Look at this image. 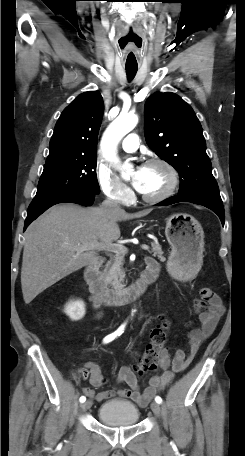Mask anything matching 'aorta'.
<instances>
[{
	"mask_svg": "<svg viewBox=\"0 0 245 456\" xmlns=\"http://www.w3.org/2000/svg\"><path fill=\"white\" fill-rule=\"evenodd\" d=\"M138 123V117L134 114L119 115L106 129L101 140V150L104 158L112 164L122 175L128 171V163L121 164L116 154L117 145L120 140Z\"/></svg>",
	"mask_w": 245,
	"mask_h": 456,
	"instance_id": "aorta-1",
	"label": "aorta"
}]
</instances>
